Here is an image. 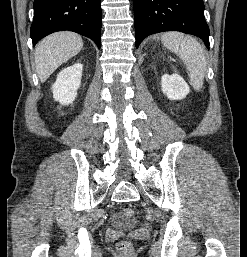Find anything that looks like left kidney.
<instances>
[{
    "mask_svg": "<svg viewBox=\"0 0 247 257\" xmlns=\"http://www.w3.org/2000/svg\"><path fill=\"white\" fill-rule=\"evenodd\" d=\"M161 90L170 100H182L189 93V86L178 74L163 75L161 78Z\"/></svg>",
    "mask_w": 247,
    "mask_h": 257,
    "instance_id": "5707ae66",
    "label": "left kidney"
}]
</instances>
